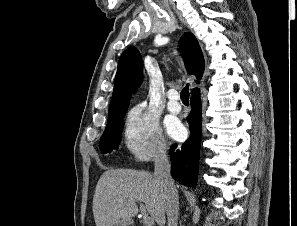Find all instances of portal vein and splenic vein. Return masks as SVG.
<instances>
[{
	"instance_id": "1",
	"label": "portal vein and splenic vein",
	"mask_w": 297,
	"mask_h": 226,
	"mask_svg": "<svg viewBox=\"0 0 297 226\" xmlns=\"http://www.w3.org/2000/svg\"><path fill=\"white\" fill-rule=\"evenodd\" d=\"M140 210H141V213L143 214V222L146 226H152L153 223H154V220L152 217H150L148 214H147V211H146V208L143 204H140Z\"/></svg>"
}]
</instances>
